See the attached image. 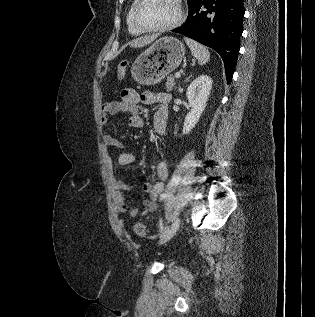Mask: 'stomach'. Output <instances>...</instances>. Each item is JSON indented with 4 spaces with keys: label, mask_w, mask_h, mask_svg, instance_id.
Masks as SVG:
<instances>
[{
    "label": "stomach",
    "mask_w": 315,
    "mask_h": 317,
    "mask_svg": "<svg viewBox=\"0 0 315 317\" xmlns=\"http://www.w3.org/2000/svg\"><path fill=\"white\" fill-rule=\"evenodd\" d=\"M184 54L185 47L179 39L162 37L136 58L132 77L139 84L155 85L180 65Z\"/></svg>",
    "instance_id": "stomach-1"
}]
</instances>
